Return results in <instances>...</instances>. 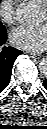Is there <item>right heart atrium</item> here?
Wrapping results in <instances>:
<instances>
[{
	"label": "right heart atrium",
	"mask_w": 47,
	"mask_h": 129,
	"mask_svg": "<svg viewBox=\"0 0 47 129\" xmlns=\"http://www.w3.org/2000/svg\"><path fill=\"white\" fill-rule=\"evenodd\" d=\"M0 18L5 23H13L16 18V0H2L0 3Z\"/></svg>",
	"instance_id": "right-heart-atrium-1"
}]
</instances>
